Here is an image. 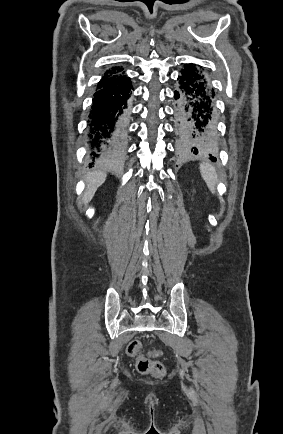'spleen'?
<instances>
[{
  "mask_svg": "<svg viewBox=\"0 0 283 434\" xmlns=\"http://www.w3.org/2000/svg\"><path fill=\"white\" fill-rule=\"evenodd\" d=\"M200 173L208 188L212 193H215V185L218 180L215 168L207 162L200 164Z\"/></svg>",
  "mask_w": 283,
  "mask_h": 434,
  "instance_id": "spleen-1",
  "label": "spleen"
}]
</instances>
